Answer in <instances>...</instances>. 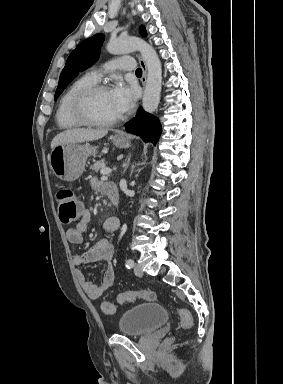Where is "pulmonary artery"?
<instances>
[{"instance_id":"pulmonary-artery-1","label":"pulmonary artery","mask_w":283,"mask_h":384,"mask_svg":"<svg viewBox=\"0 0 283 384\" xmlns=\"http://www.w3.org/2000/svg\"><path fill=\"white\" fill-rule=\"evenodd\" d=\"M134 61H117L116 64L114 61H109L108 62V67L110 68L111 71H116L117 69L119 71H132L134 68ZM109 68L105 67L102 70H95L87 74V77L93 81V82H98L101 77L102 73L104 71H108Z\"/></svg>"}]
</instances>
